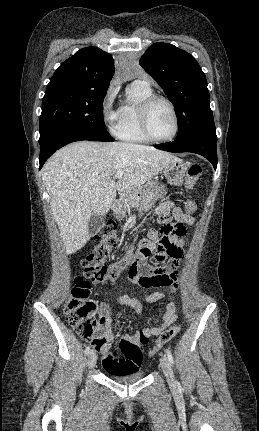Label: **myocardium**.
I'll return each instance as SVG.
<instances>
[{
    "mask_svg": "<svg viewBox=\"0 0 259 431\" xmlns=\"http://www.w3.org/2000/svg\"><path fill=\"white\" fill-rule=\"evenodd\" d=\"M156 102H164L170 108L172 116H173V120H174V129H173L172 134L169 137L164 138V139H159V138L154 137L151 133V130H150V123H149L150 111ZM139 124H140V128H141V131L144 134V136L150 142H153V143L170 142V141L175 139V137L177 136V134L179 132V118H178L176 108L170 99H168L167 97L162 96V95L152 94L151 96L146 98L140 104V106H139Z\"/></svg>",
    "mask_w": 259,
    "mask_h": 431,
    "instance_id": "1",
    "label": "myocardium"
}]
</instances>
